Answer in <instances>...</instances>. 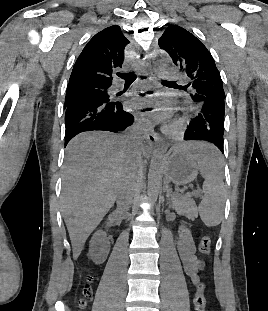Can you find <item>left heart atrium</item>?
Listing matches in <instances>:
<instances>
[{
	"instance_id": "obj_1",
	"label": "left heart atrium",
	"mask_w": 268,
	"mask_h": 311,
	"mask_svg": "<svg viewBox=\"0 0 268 311\" xmlns=\"http://www.w3.org/2000/svg\"><path fill=\"white\" fill-rule=\"evenodd\" d=\"M151 104H153V102H147V101H145V100H139V99L133 100V101L131 102V105H132L133 107H135V108H140V107H143V106H146V105H151ZM156 110H160V111H169L170 109H168V108H162V109H156ZM168 116H169V114H168L167 112H165V113L160 114V115L158 116V118H159L160 120H166V119L168 118Z\"/></svg>"
}]
</instances>
